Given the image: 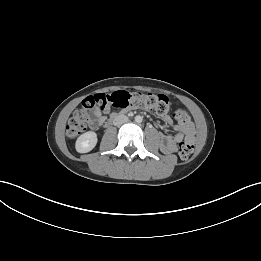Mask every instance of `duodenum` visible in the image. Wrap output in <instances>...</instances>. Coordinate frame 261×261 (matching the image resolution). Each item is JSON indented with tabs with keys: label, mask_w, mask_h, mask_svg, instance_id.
<instances>
[{
	"label": "duodenum",
	"mask_w": 261,
	"mask_h": 261,
	"mask_svg": "<svg viewBox=\"0 0 261 261\" xmlns=\"http://www.w3.org/2000/svg\"><path fill=\"white\" fill-rule=\"evenodd\" d=\"M120 115L118 113H113L110 117V119H108L106 122H105V126H108L110 125L114 120H116Z\"/></svg>",
	"instance_id": "410a0bca"
}]
</instances>
